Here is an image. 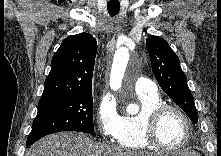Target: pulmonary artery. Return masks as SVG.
<instances>
[{"label": "pulmonary artery", "mask_w": 221, "mask_h": 156, "mask_svg": "<svg viewBox=\"0 0 221 156\" xmlns=\"http://www.w3.org/2000/svg\"><path fill=\"white\" fill-rule=\"evenodd\" d=\"M135 91L139 94H153L157 92V87L150 79L140 77L135 82Z\"/></svg>", "instance_id": "1"}]
</instances>
